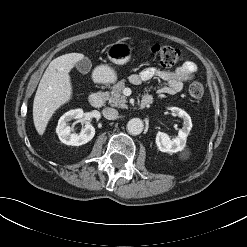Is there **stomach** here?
Listing matches in <instances>:
<instances>
[{"label":"stomach","mask_w":247,"mask_h":247,"mask_svg":"<svg viewBox=\"0 0 247 247\" xmlns=\"http://www.w3.org/2000/svg\"><path fill=\"white\" fill-rule=\"evenodd\" d=\"M107 56L115 64L123 65L132 56V48L123 41L112 43L107 48ZM95 78L101 83H113L116 80L114 70L108 65H100L95 69Z\"/></svg>","instance_id":"1"}]
</instances>
